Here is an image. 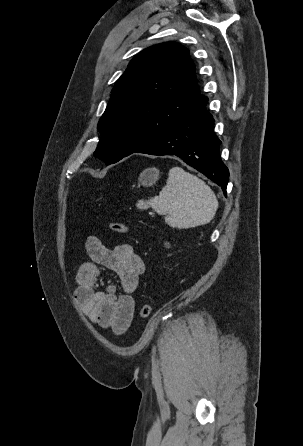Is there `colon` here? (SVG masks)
I'll return each mask as SVG.
<instances>
[{
  "mask_svg": "<svg viewBox=\"0 0 303 446\" xmlns=\"http://www.w3.org/2000/svg\"><path fill=\"white\" fill-rule=\"evenodd\" d=\"M109 228L118 234H126L128 232L127 225L117 221H111L109 223ZM151 310L152 308L150 304H144L140 309L141 317L143 318L148 317L151 313Z\"/></svg>",
  "mask_w": 303,
  "mask_h": 446,
  "instance_id": "1",
  "label": "colon"
}]
</instances>
